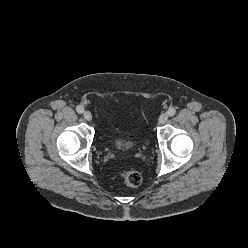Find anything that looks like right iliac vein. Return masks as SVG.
<instances>
[{
    "label": "right iliac vein",
    "mask_w": 248,
    "mask_h": 248,
    "mask_svg": "<svg viewBox=\"0 0 248 248\" xmlns=\"http://www.w3.org/2000/svg\"><path fill=\"white\" fill-rule=\"evenodd\" d=\"M83 117L85 118V120L87 121H91L92 120V114L90 111H85L83 114Z\"/></svg>",
    "instance_id": "63e3f726"
}]
</instances>
